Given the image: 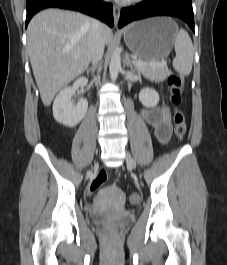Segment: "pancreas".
Wrapping results in <instances>:
<instances>
[{"label": "pancreas", "mask_w": 227, "mask_h": 265, "mask_svg": "<svg viewBox=\"0 0 227 265\" xmlns=\"http://www.w3.org/2000/svg\"><path fill=\"white\" fill-rule=\"evenodd\" d=\"M139 73H141L145 78L154 81H164L172 72L167 66L164 67H151V66H141L137 67Z\"/></svg>", "instance_id": "obj_1"}]
</instances>
